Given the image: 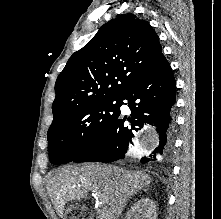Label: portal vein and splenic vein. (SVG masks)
<instances>
[{"mask_svg": "<svg viewBox=\"0 0 221 219\" xmlns=\"http://www.w3.org/2000/svg\"><path fill=\"white\" fill-rule=\"evenodd\" d=\"M100 204L104 205V204H106V202L104 200L100 199Z\"/></svg>", "mask_w": 221, "mask_h": 219, "instance_id": "18ae733b", "label": "portal vein and splenic vein"}]
</instances>
